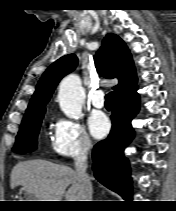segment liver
I'll return each instance as SVG.
<instances>
[{"instance_id": "obj_1", "label": "liver", "mask_w": 176, "mask_h": 211, "mask_svg": "<svg viewBox=\"0 0 176 211\" xmlns=\"http://www.w3.org/2000/svg\"><path fill=\"white\" fill-rule=\"evenodd\" d=\"M21 185L40 201H82L83 187L76 170L46 160L17 163L11 172L10 187ZM69 189L66 191L67 187Z\"/></svg>"}]
</instances>
